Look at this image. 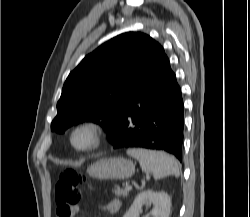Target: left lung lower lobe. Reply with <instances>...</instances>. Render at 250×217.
I'll return each instance as SVG.
<instances>
[{"instance_id":"left-lung-lower-lobe-1","label":"left lung lower lobe","mask_w":250,"mask_h":217,"mask_svg":"<svg viewBox=\"0 0 250 217\" xmlns=\"http://www.w3.org/2000/svg\"><path fill=\"white\" fill-rule=\"evenodd\" d=\"M183 100L164 49L134 89L110 142L118 148L164 150L182 160Z\"/></svg>"}]
</instances>
